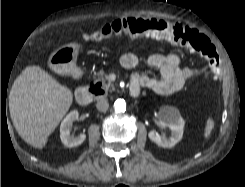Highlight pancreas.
Returning <instances> with one entry per match:
<instances>
[{
  "instance_id": "obj_1",
  "label": "pancreas",
  "mask_w": 245,
  "mask_h": 187,
  "mask_svg": "<svg viewBox=\"0 0 245 187\" xmlns=\"http://www.w3.org/2000/svg\"><path fill=\"white\" fill-rule=\"evenodd\" d=\"M95 82H100L102 84V89L106 92L113 91L115 89L114 84L108 79V75L104 72H99Z\"/></svg>"
}]
</instances>
